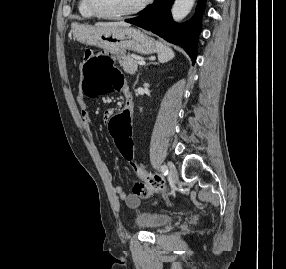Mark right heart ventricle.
Segmentation results:
<instances>
[{"mask_svg":"<svg viewBox=\"0 0 286 269\" xmlns=\"http://www.w3.org/2000/svg\"><path fill=\"white\" fill-rule=\"evenodd\" d=\"M78 10L82 17L84 18H93L94 14L90 11L87 0H79Z\"/></svg>","mask_w":286,"mask_h":269,"instance_id":"1","label":"right heart ventricle"}]
</instances>
